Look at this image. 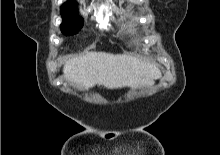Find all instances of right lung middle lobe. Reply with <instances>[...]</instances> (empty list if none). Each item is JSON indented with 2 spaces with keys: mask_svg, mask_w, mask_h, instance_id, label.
Listing matches in <instances>:
<instances>
[{
  "mask_svg": "<svg viewBox=\"0 0 220 155\" xmlns=\"http://www.w3.org/2000/svg\"><path fill=\"white\" fill-rule=\"evenodd\" d=\"M61 15L63 22L61 31L65 35H72L78 32L83 25V19L78 17L75 4L65 3L61 7Z\"/></svg>",
  "mask_w": 220,
  "mask_h": 155,
  "instance_id": "1",
  "label": "right lung middle lobe"
}]
</instances>
